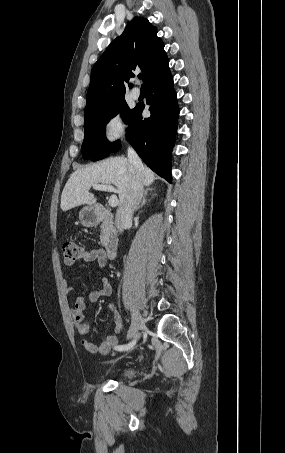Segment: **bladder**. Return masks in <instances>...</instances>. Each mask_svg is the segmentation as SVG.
Returning <instances> with one entry per match:
<instances>
[{
  "label": "bladder",
  "mask_w": 285,
  "mask_h": 453,
  "mask_svg": "<svg viewBox=\"0 0 285 453\" xmlns=\"http://www.w3.org/2000/svg\"><path fill=\"white\" fill-rule=\"evenodd\" d=\"M135 373H136V370L134 368H125L119 373V376L123 377V378H130V377L134 376Z\"/></svg>",
  "instance_id": "31cf9c89"
}]
</instances>
